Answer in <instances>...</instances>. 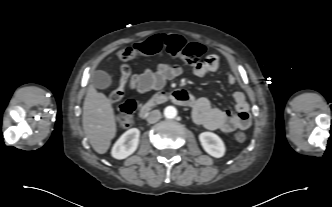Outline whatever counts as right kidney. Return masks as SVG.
I'll use <instances>...</instances> for the list:
<instances>
[{
  "mask_svg": "<svg viewBox=\"0 0 332 207\" xmlns=\"http://www.w3.org/2000/svg\"><path fill=\"white\" fill-rule=\"evenodd\" d=\"M140 131L132 128L126 131L114 144L111 155L115 159H125L133 154L139 144Z\"/></svg>",
  "mask_w": 332,
  "mask_h": 207,
  "instance_id": "1",
  "label": "right kidney"
}]
</instances>
